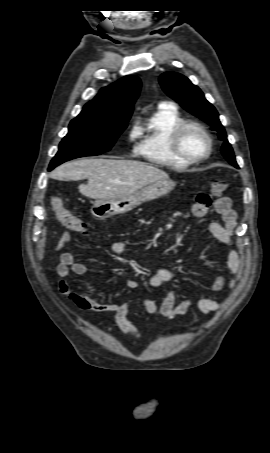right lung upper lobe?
Masks as SVG:
<instances>
[{
    "instance_id": "cb5924a9",
    "label": "right lung upper lobe",
    "mask_w": 270,
    "mask_h": 453,
    "mask_svg": "<svg viewBox=\"0 0 270 453\" xmlns=\"http://www.w3.org/2000/svg\"><path fill=\"white\" fill-rule=\"evenodd\" d=\"M140 88L141 82L138 77L125 76L101 89L76 118H96L115 124H127Z\"/></svg>"
}]
</instances>
